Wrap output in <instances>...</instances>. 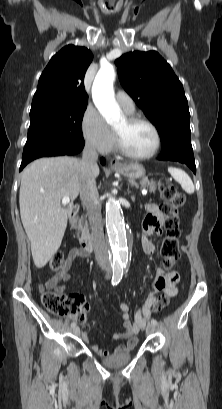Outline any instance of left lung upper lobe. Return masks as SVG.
Segmentation results:
<instances>
[{
  "label": "left lung upper lobe",
  "instance_id": "1",
  "mask_svg": "<svg viewBox=\"0 0 222 409\" xmlns=\"http://www.w3.org/2000/svg\"><path fill=\"white\" fill-rule=\"evenodd\" d=\"M115 63L123 88L157 127L162 149L191 145L187 99L170 65L155 51L130 52Z\"/></svg>",
  "mask_w": 222,
  "mask_h": 409
}]
</instances>
